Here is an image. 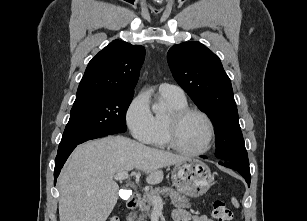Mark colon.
Wrapping results in <instances>:
<instances>
[{
    "label": "colon",
    "instance_id": "obj_1",
    "mask_svg": "<svg viewBox=\"0 0 307 221\" xmlns=\"http://www.w3.org/2000/svg\"><path fill=\"white\" fill-rule=\"evenodd\" d=\"M213 215L218 221H233V212L230 207L221 200L213 202ZM109 221H120L118 217H112Z\"/></svg>",
    "mask_w": 307,
    "mask_h": 221
}]
</instances>
